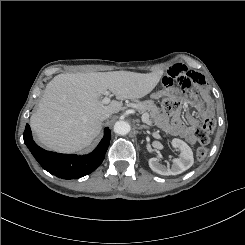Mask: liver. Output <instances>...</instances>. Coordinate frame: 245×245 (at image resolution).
<instances>
[{"label": "liver", "mask_w": 245, "mask_h": 245, "mask_svg": "<svg viewBox=\"0 0 245 245\" xmlns=\"http://www.w3.org/2000/svg\"><path fill=\"white\" fill-rule=\"evenodd\" d=\"M163 75L113 71L66 73L55 76L46 86L30 125L40 143L60 153L79 151L91 144L102 127L101 117L122 110L123 105L100 97L109 90L118 100L139 99L149 94Z\"/></svg>", "instance_id": "6515ba94"}]
</instances>
